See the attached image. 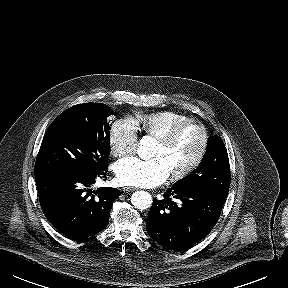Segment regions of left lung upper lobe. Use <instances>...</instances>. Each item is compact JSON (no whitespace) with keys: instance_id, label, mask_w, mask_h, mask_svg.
Listing matches in <instances>:
<instances>
[{"instance_id":"1","label":"left lung upper lobe","mask_w":288,"mask_h":288,"mask_svg":"<svg viewBox=\"0 0 288 288\" xmlns=\"http://www.w3.org/2000/svg\"><path fill=\"white\" fill-rule=\"evenodd\" d=\"M230 180L227 150L222 139L215 136L209 137L206 153L197 169L174 185L186 189L197 188L227 198Z\"/></svg>"}]
</instances>
